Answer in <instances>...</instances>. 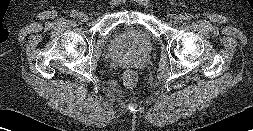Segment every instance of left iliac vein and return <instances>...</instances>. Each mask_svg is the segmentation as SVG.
Instances as JSON below:
<instances>
[{
    "instance_id": "left-iliac-vein-1",
    "label": "left iliac vein",
    "mask_w": 253,
    "mask_h": 131,
    "mask_svg": "<svg viewBox=\"0 0 253 131\" xmlns=\"http://www.w3.org/2000/svg\"><path fill=\"white\" fill-rule=\"evenodd\" d=\"M183 20H184V17L182 15H177L174 17V23L176 24L183 22Z\"/></svg>"
}]
</instances>
